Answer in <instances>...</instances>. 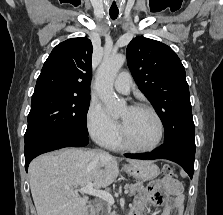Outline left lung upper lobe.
Returning <instances> with one entry per match:
<instances>
[{
  "label": "left lung upper lobe",
  "mask_w": 223,
  "mask_h": 215,
  "mask_svg": "<svg viewBox=\"0 0 223 215\" xmlns=\"http://www.w3.org/2000/svg\"><path fill=\"white\" fill-rule=\"evenodd\" d=\"M126 55L134 80L163 123L164 142L194 140L189 87L176 53L164 43L138 36L128 44Z\"/></svg>",
  "instance_id": "obj_1"
}]
</instances>
